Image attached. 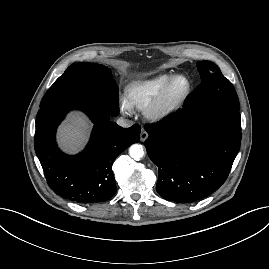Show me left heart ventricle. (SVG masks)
I'll use <instances>...</instances> for the list:
<instances>
[{
  "mask_svg": "<svg viewBox=\"0 0 269 269\" xmlns=\"http://www.w3.org/2000/svg\"><path fill=\"white\" fill-rule=\"evenodd\" d=\"M186 83L183 79L177 80L170 90V97H178L185 89Z\"/></svg>",
  "mask_w": 269,
  "mask_h": 269,
  "instance_id": "left-heart-ventricle-1",
  "label": "left heart ventricle"
}]
</instances>
